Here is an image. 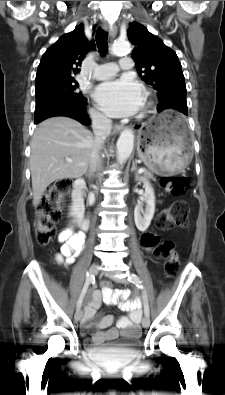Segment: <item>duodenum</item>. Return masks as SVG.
I'll return each instance as SVG.
<instances>
[{
    "label": "duodenum",
    "mask_w": 225,
    "mask_h": 395,
    "mask_svg": "<svg viewBox=\"0 0 225 395\" xmlns=\"http://www.w3.org/2000/svg\"><path fill=\"white\" fill-rule=\"evenodd\" d=\"M84 187H85V182L83 179L80 178L75 181L72 196H73V200L76 203H79L83 198ZM81 227L84 230H87L89 228V220L87 218H83L81 220Z\"/></svg>",
    "instance_id": "410a0bca"
}]
</instances>
